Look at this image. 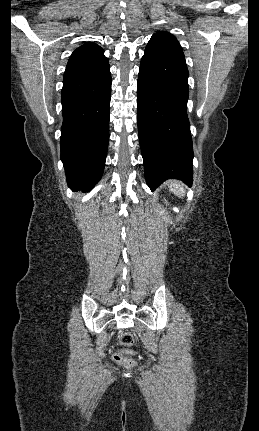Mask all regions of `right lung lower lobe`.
Instances as JSON below:
<instances>
[{
  "instance_id": "obj_1",
  "label": "right lung lower lobe",
  "mask_w": 259,
  "mask_h": 431,
  "mask_svg": "<svg viewBox=\"0 0 259 431\" xmlns=\"http://www.w3.org/2000/svg\"><path fill=\"white\" fill-rule=\"evenodd\" d=\"M110 95L108 63L64 76L61 160L73 189L90 190L102 177L109 141Z\"/></svg>"
}]
</instances>
